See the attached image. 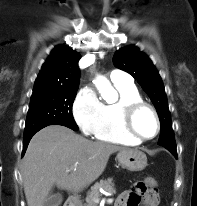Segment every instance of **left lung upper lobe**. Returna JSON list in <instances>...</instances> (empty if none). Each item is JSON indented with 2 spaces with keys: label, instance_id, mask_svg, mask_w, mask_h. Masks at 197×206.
<instances>
[{
  "label": "left lung upper lobe",
  "instance_id": "1",
  "mask_svg": "<svg viewBox=\"0 0 197 206\" xmlns=\"http://www.w3.org/2000/svg\"><path fill=\"white\" fill-rule=\"evenodd\" d=\"M113 62L117 68L131 74L152 100L161 124L158 144L176 147L163 82L152 61L137 47L128 46L115 52Z\"/></svg>",
  "mask_w": 197,
  "mask_h": 206
}]
</instances>
